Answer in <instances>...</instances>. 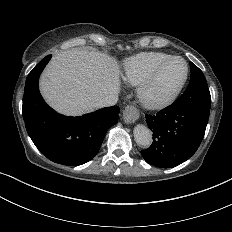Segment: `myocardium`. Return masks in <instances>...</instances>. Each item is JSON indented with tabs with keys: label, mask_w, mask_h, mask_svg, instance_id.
Instances as JSON below:
<instances>
[{
	"label": "myocardium",
	"mask_w": 232,
	"mask_h": 232,
	"mask_svg": "<svg viewBox=\"0 0 232 232\" xmlns=\"http://www.w3.org/2000/svg\"><path fill=\"white\" fill-rule=\"evenodd\" d=\"M173 61H182L186 65V73L181 83L165 98L157 102L146 101L144 98V92L146 88L152 83V81L157 77V75ZM189 74H190V67L187 60L179 56H171L169 59L157 65L155 68H153L137 85L135 90V97L137 102L141 107L147 110L160 111L167 108L176 100L178 95L181 93L182 89L184 88V86L188 81Z\"/></svg>",
	"instance_id": "obj_1"
}]
</instances>
